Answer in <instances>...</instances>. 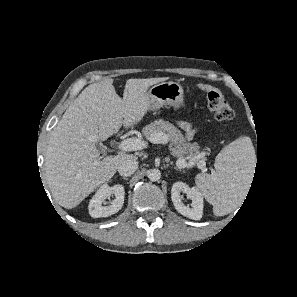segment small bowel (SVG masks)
<instances>
[{"mask_svg":"<svg viewBox=\"0 0 297 297\" xmlns=\"http://www.w3.org/2000/svg\"><path fill=\"white\" fill-rule=\"evenodd\" d=\"M178 125L185 132L186 138L191 139L194 136L196 130L191 123L180 121Z\"/></svg>","mask_w":297,"mask_h":297,"instance_id":"small-bowel-1","label":"small bowel"}]
</instances>
